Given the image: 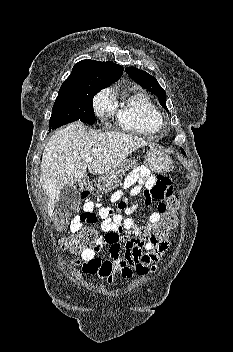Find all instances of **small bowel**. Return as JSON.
<instances>
[{"label":"small bowel","mask_w":233,"mask_h":352,"mask_svg":"<svg viewBox=\"0 0 233 352\" xmlns=\"http://www.w3.org/2000/svg\"><path fill=\"white\" fill-rule=\"evenodd\" d=\"M124 189H129L132 196L144 193L145 204L149 206L152 202L157 203V209L151 211L143 227H139L135 221L125 215L134 212L135 206L128 203V199L122 197L121 191L112 195V201L117 208L103 206L93 201H86L83 205V212L74 217L70 224V231L76 234L83 224H95L97 214L101 219V229L105 232L103 240L95 247L86 249L81 254L82 272L84 277L98 275L111 284L116 275L123 279L131 278L133 275L144 276L155 269V264L166 254L169 242L159 247L142 246L126 240L122 233L130 231L138 234L142 231L149 232L161 218L159 206H162L164 199L172 194L170 180L165 175L155 176L145 166L135 168L125 179ZM87 196V195H86ZM105 244L109 247L111 259L102 260L96 256V251ZM124 246V254L121 256V248ZM147 250L143 251L142 248ZM78 264L79 261H75Z\"/></svg>","instance_id":"1"}]
</instances>
